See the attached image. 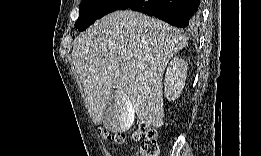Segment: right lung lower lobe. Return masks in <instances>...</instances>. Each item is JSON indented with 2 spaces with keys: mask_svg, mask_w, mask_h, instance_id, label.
<instances>
[{
  "mask_svg": "<svg viewBox=\"0 0 261 156\" xmlns=\"http://www.w3.org/2000/svg\"><path fill=\"white\" fill-rule=\"evenodd\" d=\"M199 0H127L117 10H135L179 28H192L199 19Z\"/></svg>",
  "mask_w": 261,
  "mask_h": 156,
  "instance_id": "right-lung-lower-lobe-1",
  "label": "right lung lower lobe"
}]
</instances>
